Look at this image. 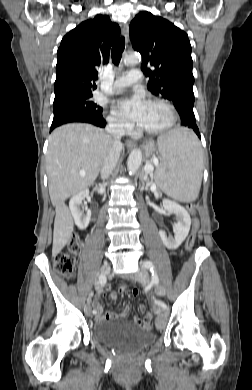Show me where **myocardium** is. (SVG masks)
Segmentation results:
<instances>
[{"instance_id": "f54148a6", "label": "myocardium", "mask_w": 252, "mask_h": 390, "mask_svg": "<svg viewBox=\"0 0 252 390\" xmlns=\"http://www.w3.org/2000/svg\"><path fill=\"white\" fill-rule=\"evenodd\" d=\"M147 103H149V104L158 103V104L164 105L170 113V120L164 127H161L158 129L148 130V129H144L141 126H139V128H138L139 132L146 134V135H160V134H164V133L170 131L175 126V124L177 122V111H176L175 106L171 102H169L168 100H165L162 98H152V99L148 100Z\"/></svg>"}]
</instances>
